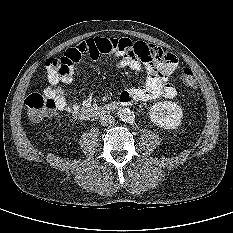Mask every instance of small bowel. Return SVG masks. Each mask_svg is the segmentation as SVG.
<instances>
[{
    "label": "small bowel",
    "mask_w": 233,
    "mask_h": 233,
    "mask_svg": "<svg viewBox=\"0 0 233 233\" xmlns=\"http://www.w3.org/2000/svg\"><path fill=\"white\" fill-rule=\"evenodd\" d=\"M126 40V39H124ZM128 43L127 50L116 52L120 57L117 62L119 68L129 67L137 72H145V85L142 87H127L120 94V102L129 104L133 101H154L161 97L172 99L177 95L175 86L169 81L170 75L178 66L177 57L162 51L160 48L145 42ZM138 44V45H137ZM136 45V47H135ZM52 59L47 60L48 88L46 92L52 93L56 99L57 108L71 114L74 118H87L86 112L93 103L92 96H88L81 103L72 100L70 103L63 94L59 84L70 85L73 82V71L60 74L51 64Z\"/></svg>",
    "instance_id": "small-bowel-1"
}]
</instances>
